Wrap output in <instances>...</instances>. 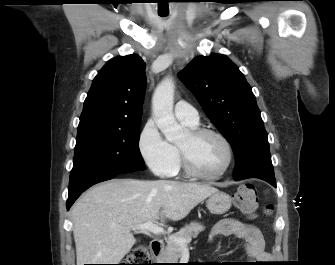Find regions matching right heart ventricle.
<instances>
[{"label":"right heart ventricle","instance_id":"obj_1","mask_svg":"<svg viewBox=\"0 0 335 265\" xmlns=\"http://www.w3.org/2000/svg\"><path fill=\"white\" fill-rule=\"evenodd\" d=\"M184 124H185V123H184ZM185 125H187V124H185ZM187 126H189V127H191V128H196V127H197V126H190V125H187ZM177 152H178V150H177ZM179 170H180V159H179V152H178V161H177V165H176L175 169L173 170V172H172L169 176H175V175H177L178 172H179Z\"/></svg>","mask_w":335,"mask_h":265}]
</instances>
